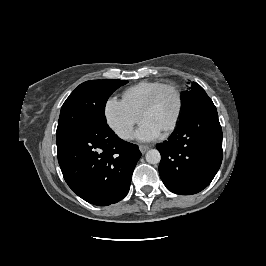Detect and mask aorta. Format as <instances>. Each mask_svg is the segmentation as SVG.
<instances>
[{"label": "aorta", "instance_id": "aorta-1", "mask_svg": "<svg viewBox=\"0 0 266 266\" xmlns=\"http://www.w3.org/2000/svg\"><path fill=\"white\" fill-rule=\"evenodd\" d=\"M146 161L150 164H158L161 160V155L158 150L151 149L146 153Z\"/></svg>", "mask_w": 266, "mask_h": 266}]
</instances>
